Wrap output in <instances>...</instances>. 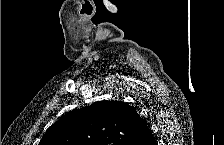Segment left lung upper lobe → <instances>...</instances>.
<instances>
[{"instance_id": "1", "label": "left lung upper lobe", "mask_w": 224, "mask_h": 145, "mask_svg": "<svg viewBox=\"0 0 224 145\" xmlns=\"http://www.w3.org/2000/svg\"><path fill=\"white\" fill-rule=\"evenodd\" d=\"M145 121L122 101H99L63 115L39 145H132Z\"/></svg>"}]
</instances>
